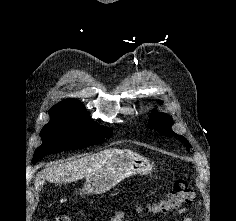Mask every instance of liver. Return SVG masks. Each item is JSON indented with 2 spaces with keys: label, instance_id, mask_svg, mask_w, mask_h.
I'll use <instances>...</instances> for the list:
<instances>
[{
  "label": "liver",
  "instance_id": "obj_1",
  "mask_svg": "<svg viewBox=\"0 0 236 221\" xmlns=\"http://www.w3.org/2000/svg\"><path fill=\"white\" fill-rule=\"evenodd\" d=\"M118 151L117 149H106L79 159L54 163L37 174L35 178V190L40 191L45 180L51 183L66 184L87 177L97 170L104 160Z\"/></svg>",
  "mask_w": 236,
  "mask_h": 221
}]
</instances>
